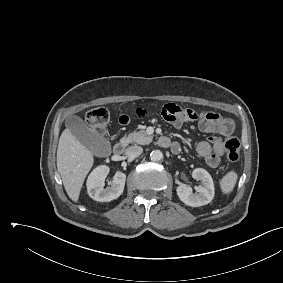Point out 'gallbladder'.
Instances as JSON below:
<instances>
[{"label": "gallbladder", "instance_id": "bac80fb5", "mask_svg": "<svg viewBox=\"0 0 283 283\" xmlns=\"http://www.w3.org/2000/svg\"><path fill=\"white\" fill-rule=\"evenodd\" d=\"M66 126L92 154L99 157L110 155V142L103 135L88 127L80 117H70Z\"/></svg>", "mask_w": 283, "mask_h": 283}]
</instances>
